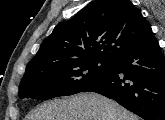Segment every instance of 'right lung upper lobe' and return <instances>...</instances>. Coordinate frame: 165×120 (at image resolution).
Here are the masks:
<instances>
[{
	"instance_id": "right-lung-upper-lobe-1",
	"label": "right lung upper lobe",
	"mask_w": 165,
	"mask_h": 120,
	"mask_svg": "<svg viewBox=\"0 0 165 120\" xmlns=\"http://www.w3.org/2000/svg\"><path fill=\"white\" fill-rule=\"evenodd\" d=\"M152 36L150 24L129 0H96L60 22L27 67L77 58L114 61Z\"/></svg>"
}]
</instances>
